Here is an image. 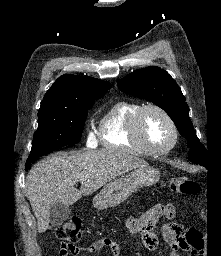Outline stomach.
I'll use <instances>...</instances> for the list:
<instances>
[{
	"label": "stomach",
	"instance_id": "0dacf381",
	"mask_svg": "<svg viewBox=\"0 0 221 256\" xmlns=\"http://www.w3.org/2000/svg\"><path fill=\"white\" fill-rule=\"evenodd\" d=\"M160 179V172L148 165L140 167L123 178L106 184L93 199L94 206L99 209L114 207L140 187L156 184Z\"/></svg>",
	"mask_w": 221,
	"mask_h": 256
}]
</instances>
